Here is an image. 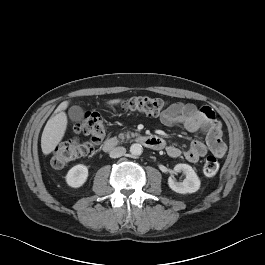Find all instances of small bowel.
Wrapping results in <instances>:
<instances>
[{"label":"small bowel","mask_w":265,"mask_h":265,"mask_svg":"<svg viewBox=\"0 0 265 265\" xmlns=\"http://www.w3.org/2000/svg\"><path fill=\"white\" fill-rule=\"evenodd\" d=\"M160 120L168 127L180 125L188 132L205 133V141H192L184 152L177 146L168 145L166 151L170 157L177 158L183 155L188 162L196 163L208 152L219 158L225 155L226 145L222 141L221 124L210 106L197 107L191 103L174 102L168 106Z\"/></svg>","instance_id":"c3829d8e"}]
</instances>
